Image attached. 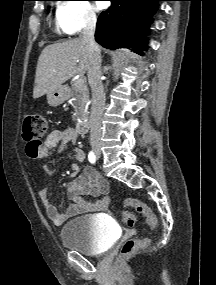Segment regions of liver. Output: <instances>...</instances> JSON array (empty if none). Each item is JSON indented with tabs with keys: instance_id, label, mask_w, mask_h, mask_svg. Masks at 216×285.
<instances>
[{
	"instance_id": "1",
	"label": "liver",
	"mask_w": 216,
	"mask_h": 285,
	"mask_svg": "<svg viewBox=\"0 0 216 285\" xmlns=\"http://www.w3.org/2000/svg\"><path fill=\"white\" fill-rule=\"evenodd\" d=\"M89 66V52L81 38L46 46L38 59L33 98L62 86L76 74L83 75Z\"/></svg>"
}]
</instances>
